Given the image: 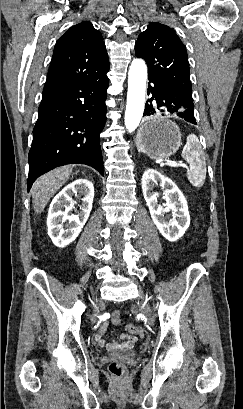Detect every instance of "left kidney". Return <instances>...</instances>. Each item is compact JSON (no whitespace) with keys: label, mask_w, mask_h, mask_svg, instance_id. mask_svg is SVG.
I'll return each instance as SVG.
<instances>
[{"label":"left kidney","mask_w":243,"mask_h":409,"mask_svg":"<svg viewBox=\"0 0 243 409\" xmlns=\"http://www.w3.org/2000/svg\"><path fill=\"white\" fill-rule=\"evenodd\" d=\"M141 184L152 220L160 233L169 241L181 238L190 225L188 205L182 192L171 179L154 169L144 172ZM157 184L165 189L163 193L166 200L165 207L157 204L158 194L153 192ZM169 211H173V218L167 221L164 214Z\"/></svg>","instance_id":"5707ae66"}]
</instances>
